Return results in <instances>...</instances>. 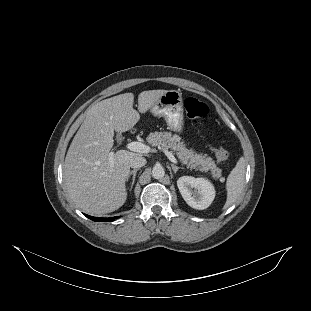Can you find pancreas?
Segmentation results:
<instances>
[{
    "label": "pancreas",
    "instance_id": "obj_1",
    "mask_svg": "<svg viewBox=\"0 0 311 311\" xmlns=\"http://www.w3.org/2000/svg\"><path fill=\"white\" fill-rule=\"evenodd\" d=\"M147 142L153 146H160L162 149H171L178 159L187 164L190 169H196L201 172H211L213 179H219L222 176V170L217 167L215 161L207 154H198L193 149H188L181 137L172 132H153L147 138Z\"/></svg>",
    "mask_w": 311,
    "mask_h": 311
}]
</instances>
